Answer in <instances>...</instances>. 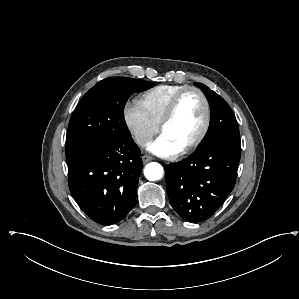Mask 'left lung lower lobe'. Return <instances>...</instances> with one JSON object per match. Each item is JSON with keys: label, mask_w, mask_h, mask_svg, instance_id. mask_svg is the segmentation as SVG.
<instances>
[{"label": "left lung lower lobe", "mask_w": 299, "mask_h": 299, "mask_svg": "<svg viewBox=\"0 0 299 299\" xmlns=\"http://www.w3.org/2000/svg\"><path fill=\"white\" fill-rule=\"evenodd\" d=\"M241 147L215 143L165 167L167 193L174 210L185 220L209 219L233 190Z\"/></svg>", "instance_id": "0a47b994"}]
</instances>
